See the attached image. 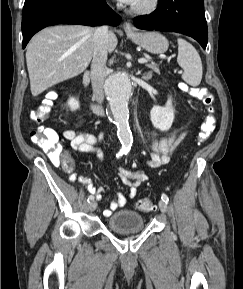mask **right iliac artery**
<instances>
[{
    "label": "right iliac artery",
    "instance_id": "82829eb1",
    "mask_svg": "<svg viewBox=\"0 0 243 289\" xmlns=\"http://www.w3.org/2000/svg\"><path fill=\"white\" fill-rule=\"evenodd\" d=\"M123 153H124L123 151H120L119 153L116 154V157H117V158H120V157L123 155ZM93 199H94V196H93V195H90V196L88 197V202H89V201H92Z\"/></svg>",
    "mask_w": 243,
    "mask_h": 289
}]
</instances>
